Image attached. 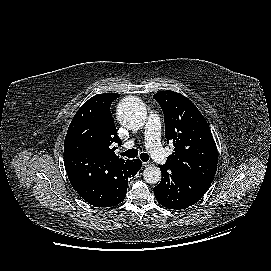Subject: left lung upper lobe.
I'll list each match as a JSON object with an SVG mask.
<instances>
[{"label":"left lung upper lobe","instance_id":"5c2ea615","mask_svg":"<svg viewBox=\"0 0 271 271\" xmlns=\"http://www.w3.org/2000/svg\"><path fill=\"white\" fill-rule=\"evenodd\" d=\"M165 120V137L175 145L164 166L210 186L217 169V148L206 119L185 96L174 91L156 93Z\"/></svg>","mask_w":271,"mask_h":271}]
</instances>
